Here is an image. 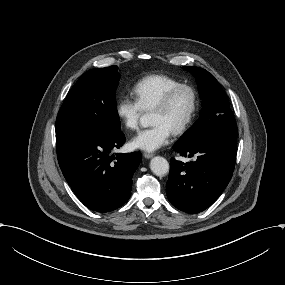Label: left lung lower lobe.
Returning a JSON list of instances; mask_svg holds the SVG:
<instances>
[{"mask_svg": "<svg viewBox=\"0 0 285 285\" xmlns=\"http://www.w3.org/2000/svg\"><path fill=\"white\" fill-rule=\"evenodd\" d=\"M236 126L217 129L189 146L173 149L195 161H170L167 196L181 211L195 214L211 206L229 183L235 166Z\"/></svg>", "mask_w": 285, "mask_h": 285, "instance_id": "obj_1", "label": "left lung lower lobe"}]
</instances>
